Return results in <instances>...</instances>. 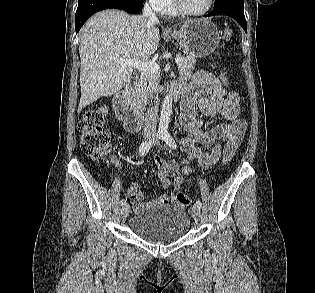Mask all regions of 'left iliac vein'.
<instances>
[{"instance_id":"1","label":"left iliac vein","mask_w":315,"mask_h":293,"mask_svg":"<svg viewBox=\"0 0 315 293\" xmlns=\"http://www.w3.org/2000/svg\"><path fill=\"white\" fill-rule=\"evenodd\" d=\"M192 216L196 221H198L201 217V210L196 205L192 207Z\"/></svg>"}]
</instances>
